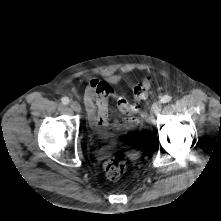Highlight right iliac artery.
I'll use <instances>...</instances> for the list:
<instances>
[{"label": "right iliac artery", "instance_id": "1", "mask_svg": "<svg viewBox=\"0 0 221 221\" xmlns=\"http://www.w3.org/2000/svg\"><path fill=\"white\" fill-rule=\"evenodd\" d=\"M61 101H62V103L65 104V105L69 104V102H70V100H69L68 97H63V98L61 99Z\"/></svg>", "mask_w": 221, "mask_h": 221}]
</instances>
